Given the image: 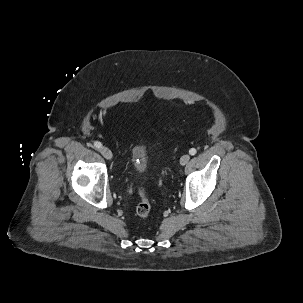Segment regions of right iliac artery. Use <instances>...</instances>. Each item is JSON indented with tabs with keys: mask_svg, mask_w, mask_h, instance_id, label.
<instances>
[{
	"mask_svg": "<svg viewBox=\"0 0 303 303\" xmlns=\"http://www.w3.org/2000/svg\"><path fill=\"white\" fill-rule=\"evenodd\" d=\"M94 147L97 149H100L102 147V144L100 142H94Z\"/></svg>",
	"mask_w": 303,
	"mask_h": 303,
	"instance_id": "right-iliac-artery-1",
	"label": "right iliac artery"
}]
</instances>
